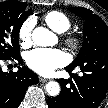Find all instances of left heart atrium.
<instances>
[{
    "mask_svg": "<svg viewBox=\"0 0 108 108\" xmlns=\"http://www.w3.org/2000/svg\"><path fill=\"white\" fill-rule=\"evenodd\" d=\"M26 64L40 75H50L66 63V56L58 49L37 48L26 54Z\"/></svg>",
    "mask_w": 108,
    "mask_h": 108,
    "instance_id": "1",
    "label": "left heart atrium"
}]
</instances>
